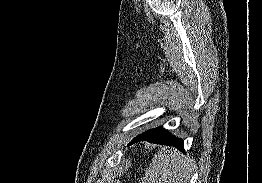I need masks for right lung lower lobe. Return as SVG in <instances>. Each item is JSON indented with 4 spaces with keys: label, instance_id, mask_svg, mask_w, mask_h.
Returning a JSON list of instances; mask_svg holds the SVG:
<instances>
[{
    "label": "right lung lower lobe",
    "instance_id": "98d812e1",
    "mask_svg": "<svg viewBox=\"0 0 262 183\" xmlns=\"http://www.w3.org/2000/svg\"><path fill=\"white\" fill-rule=\"evenodd\" d=\"M139 141H148L156 144L170 145L184 151L183 140L172 136L162 127L151 129L138 135L131 141V143H129V145Z\"/></svg>",
    "mask_w": 262,
    "mask_h": 183
}]
</instances>
